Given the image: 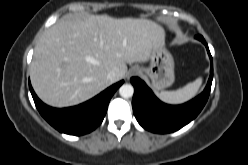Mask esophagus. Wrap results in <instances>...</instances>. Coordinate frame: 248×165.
Returning <instances> with one entry per match:
<instances>
[{"label": "esophagus", "instance_id": "1", "mask_svg": "<svg viewBox=\"0 0 248 165\" xmlns=\"http://www.w3.org/2000/svg\"><path fill=\"white\" fill-rule=\"evenodd\" d=\"M140 73V69L137 67H133L129 70V72L127 73V77L130 78L131 76L137 75Z\"/></svg>", "mask_w": 248, "mask_h": 165}]
</instances>
